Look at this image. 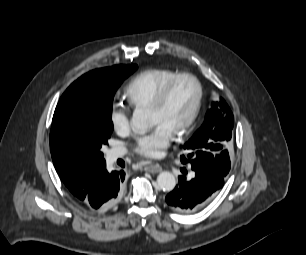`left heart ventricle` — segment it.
<instances>
[{
	"instance_id": "obj_1",
	"label": "left heart ventricle",
	"mask_w": 306,
	"mask_h": 255,
	"mask_svg": "<svg viewBox=\"0 0 306 255\" xmlns=\"http://www.w3.org/2000/svg\"><path fill=\"white\" fill-rule=\"evenodd\" d=\"M197 86L189 78L179 80L173 87L165 104L158 110H150L153 125H161L171 133L181 126L191 115L196 99Z\"/></svg>"
}]
</instances>
